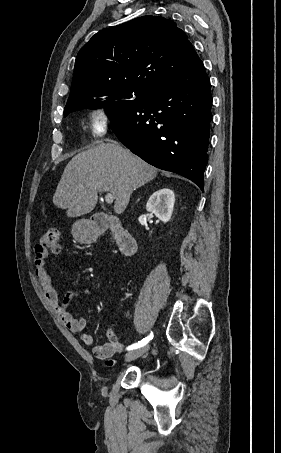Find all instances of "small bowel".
Here are the masks:
<instances>
[{"label": "small bowel", "instance_id": "1", "mask_svg": "<svg viewBox=\"0 0 281 453\" xmlns=\"http://www.w3.org/2000/svg\"><path fill=\"white\" fill-rule=\"evenodd\" d=\"M45 250L36 252L34 273L43 291V294L51 308L59 315L61 321L66 325V328L72 332L80 333L81 340L88 346L92 347L97 357L103 361H111L116 353L125 352V346L118 340L112 329L110 317L104 321L108 342L99 346H95V338L93 335L86 333V319L84 317H75L71 314L65 304H60L57 292L55 290L53 277L48 271L45 264ZM91 295L89 290L70 289L66 292L64 301L69 303L79 297L87 298ZM112 363V362H111Z\"/></svg>", "mask_w": 281, "mask_h": 453}]
</instances>
